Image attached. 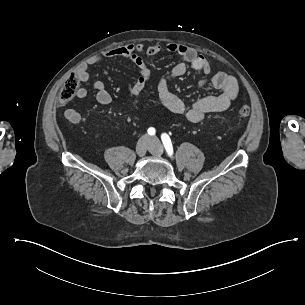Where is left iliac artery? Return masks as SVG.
Masks as SVG:
<instances>
[{
    "instance_id": "left-iliac-artery-1",
    "label": "left iliac artery",
    "mask_w": 305,
    "mask_h": 305,
    "mask_svg": "<svg viewBox=\"0 0 305 305\" xmlns=\"http://www.w3.org/2000/svg\"><path fill=\"white\" fill-rule=\"evenodd\" d=\"M161 139H162V142H163L164 147L166 149V152L169 155H172L173 154V147H172V143H171V140H170L169 136L167 134H162Z\"/></svg>"
}]
</instances>
